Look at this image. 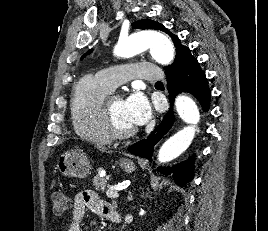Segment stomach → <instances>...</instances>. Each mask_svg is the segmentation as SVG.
I'll return each mask as SVG.
<instances>
[{"instance_id": "0dacf381", "label": "stomach", "mask_w": 268, "mask_h": 231, "mask_svg": "<svg viewBox=\"0 0 268 231\" xmlns=\"http://www.w3.org/2000/svg\"><path fill=\"white\" fill-rule=\"evenodd\" d=\"M120 167L126 173H132L136 170L133 161L122 159ZM57 169L64 176L85 178L91 169L88 157L81 150L74 149L64 152L58 159Z\"/></svg>"}]
</instances>
